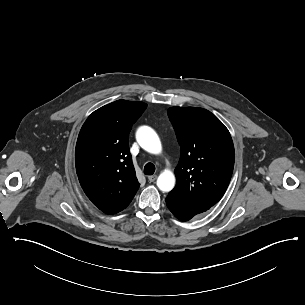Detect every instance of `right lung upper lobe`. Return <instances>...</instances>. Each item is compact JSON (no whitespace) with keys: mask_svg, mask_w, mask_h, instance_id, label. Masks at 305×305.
<instances>
[{"mask_svg":"<svg viewBox=\"0 0 305 305\" xmlns=\"http://www.w3.org/2000/svg\"><path fill=\"white\" fill-rule=\"evenodd\" d=\"M146 107L143 102H112L94 111L79 133L75 150L79 182L92 203L106 214L125 209L140 186L128 137Z\"/></svg>","mask_w":305,"mask_h":305,"instance_id":"obj_1","label":"right lung upper lobe"}]
</instances>
